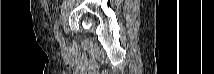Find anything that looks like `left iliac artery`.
<instances>
[{
	"label": "left iliac artery",
	"instance_id": "left-iliac-artery-1",
	"mask_svg": "<svg viewBox=\"0 0 214 74\" xmlns=\"http://www.w3.org/2000/svg\"><path fill=\"white\" fill-rule=\"evenodd\" d=\"M54 33L57 40L60 42L62 40L61 33L59 32V22L56 21L54 24Z\"/></svg>",
	"mask_w": 214,
	"mask_h": 74
}]
</instances>
